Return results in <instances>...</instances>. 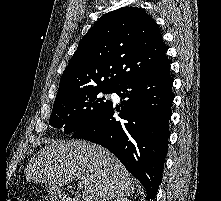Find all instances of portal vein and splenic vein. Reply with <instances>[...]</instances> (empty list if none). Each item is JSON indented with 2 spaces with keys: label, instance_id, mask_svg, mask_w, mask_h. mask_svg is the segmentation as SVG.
Listing matches in <instances>:
<instances>
[{
  "label": "portal vein and splenic vein",
  "instance_id": "1",
  "mask_svg": "<svg viewBox=\"0 0 221 201\" xmlns=\"http://www.w3.org/2000/svg\"><path fill=\"white\" fill-rule=\"evenodd\" d=\"M77 185H78L79 188H83V184L82 183L78 182Z\"/></svg>",
  "mask_w": 221,
  "mask_h": 201
}]
</instances>
